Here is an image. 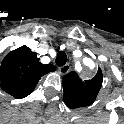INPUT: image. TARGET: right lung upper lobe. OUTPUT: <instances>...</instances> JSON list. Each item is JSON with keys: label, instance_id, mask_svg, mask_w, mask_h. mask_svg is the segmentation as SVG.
I'll return each instance as SVG.
<instances>
[{"label": "right lung upper lobe", "instance_id": "obj_1", "mask_svg": "<svg viewBox=\"0 0 124 124\" xmlns=\"http://www.w3.org/2000/svg\"><path fill=\"white\" fill-rule=\"evenodd\" d=\"M55 70L51 64H41L35 52L22 46L8 53L1 62L0 86L14 98H24L44 74Z\"/></svg>", "mask_w": 124, "mask_h": 124}]
</instances>
